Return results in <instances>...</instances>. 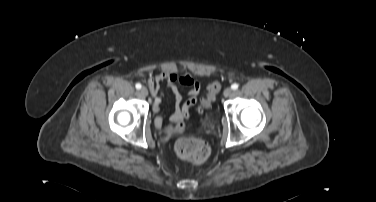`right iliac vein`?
<instances>
[{
    "label": "right iliac vein",
    "mask_w": 376,
    "mask_h": 202,
    "mask_svg": "<svg viewBox=\"0 0 376 202\" xmlns=\"http://www.w3.org/2000/svg\"><path fill=\"white\" fill-rule=\"evenodd\" d=\"M140 94H141L142 96L146 97V96L148 95V90H147V88L142 87V88L140 89Z\"/></svg>",
    "instance_id": "right-iliac-vein-1"
}]
</instances>
